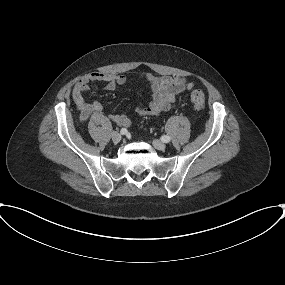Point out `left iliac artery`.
I'll return each mask as SVG.
<instances>
[{
    "mask_svg": "<svg viewBox=\"0 0 285 285\" xmlns=\"http://www.w3.org/2000/svg\"><path fill=\"white\" fill-rule=\"evenodd\" d=\"M161 140L165 143H168V142H170L171 138H170V136L164 135L161 137Z\"/></svg>",
    "mask_w": 285,
    "mask_h": 285,
    "instance_id": "1",
    "label": "left iliac artery"
}]
</instances>
